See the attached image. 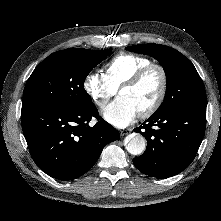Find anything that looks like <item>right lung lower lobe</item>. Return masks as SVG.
Masks as SVG:
<instances>
[{
    "label": "right lung lower lobe",
    "mask_w": 221,
    "mask_h": 221,
    "mask_svg": "<svg viewBox=\"0 0 221 221\" xmlns=\"http://www.w3.org/2000/svg\"><path fill=\"white\" fill-rule=\"evenodd\" d=\"M97 123L89 126L91 119ZM21 124L36 165L59 180H72L90 170L104 146L120 137L101 119L96 106L80 109L25 107Z\"/></svg>",
    "instance_id": "98d812e1"
}]
</instances>
